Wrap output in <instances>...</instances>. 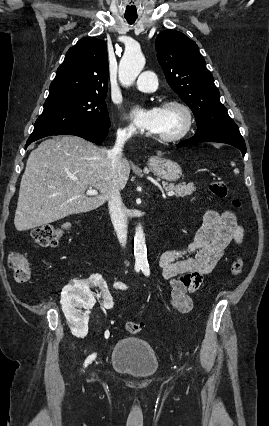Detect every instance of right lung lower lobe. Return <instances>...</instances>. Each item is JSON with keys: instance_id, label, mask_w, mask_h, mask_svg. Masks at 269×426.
Wrapping results in <instances>:
<instances>
[{"instance_id": "98d812e1", "label": "right lung lower lobe", "mask_w": 269, "mask_h": 426, "mask_svg": "<svg viewBox=\"0 0 269 426\" xmlns=\"http://www.w3.org/2000/svg\"><path fill=\"white\" fill-rule=\"evenodd\" d=\"M109 127L98 128V127L90 126V125H82L77 128H73L64 132L54 133L50 135H76L86 140H89L91 142H94L98 145H101L102 141L105 139L106 135L108 134ZM34 141L36 140H28L26 143V147Z\"/></svg>"}]
</instances>
